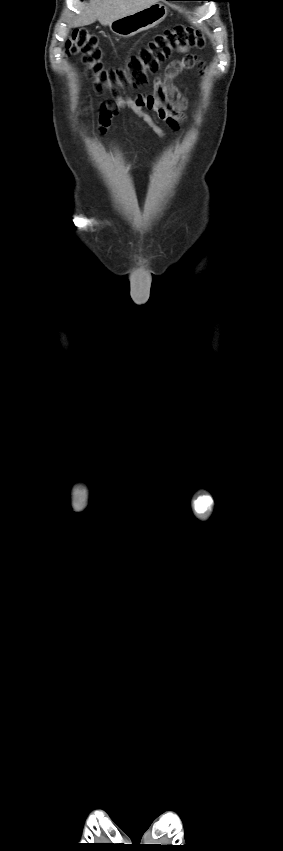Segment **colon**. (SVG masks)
I'll return each mask as SVG.
<instances>
[{"instance_id":"1","label":"colon","mask_w":283,"mask_h":851,"mask_svg":"<svg viewBox=\"0 0 283 851\" xmlns=\"http://www.w3.org/2000/svg\"><path fill=\"white\" fill-rule=\"evenodd\" d=\"M206 40L203 33L182 25L165 29L132 57L123 69L106 70L98 38L86 30H76L66 42L68 54H81L87 76L94 81L96 91L109 88L112 92L144 85L147 72H157L174 50L202 48ZM99 120V119H98Z\"/></svg>"}]
</instances>
